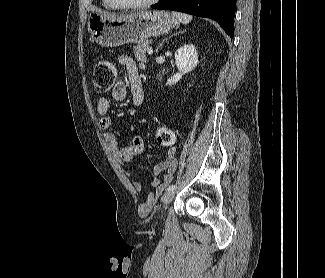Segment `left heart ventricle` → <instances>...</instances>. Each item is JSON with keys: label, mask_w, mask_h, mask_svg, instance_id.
<instances>
[{"label": "left heart ventricle", "mask_w": 325, "mask_h": 278, "mask_svg": "<svg viewBox=\"0 0 325 278\" xmlns=\"http://www.w3.org/2000/svg\"><path fill=\"white\" fill-rule=\"evenodd\" d=\"M126 2H131V3H140V2H143V1H146V0H124Z\"/></svg>", "instance_id": "obj_1"}]
</instances>
